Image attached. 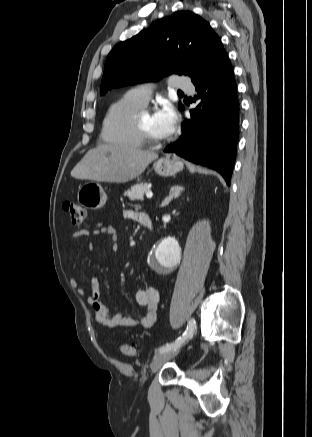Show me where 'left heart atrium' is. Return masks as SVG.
I'll return each instance as SVG.
<instances>
[{
	"label": "left heart atrium",
	"mask_w": 312,
	"mask_h": 437,
	"mask_svg": "<svg viewBox=\"0 0 312 437\" xmlns=\"http://www.w3.org/2000/svg\"><path fill=\"white\" fill-rule=\"evenodd\" d=\"M159 131L166 137L170 136L177 125V114L170 104L164 105L154 114Z\"/></svg>",
	"instance_id": "left-heart-atrium-1"
}]
</instances>
